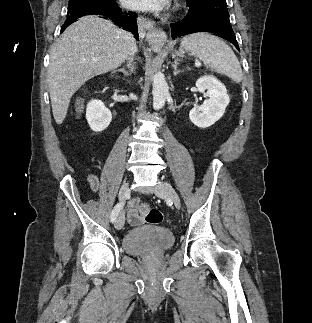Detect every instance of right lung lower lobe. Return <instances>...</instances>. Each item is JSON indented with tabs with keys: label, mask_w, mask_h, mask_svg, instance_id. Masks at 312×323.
I'll return each mask as SVG.
<instances>
[{
	"label": "right lung lower lobe",
	"mask_w": 312,
	"mask_h": 323,
	"mask_svg": "<svg viewBox=\"0 0 312 323\" xmlns=\"http://www.w3.org/2000/svg\"><path fill=\"white\" fill-rule=\"evenodd\" d=\"M92 14L102 15L104 19H111L117 26L122 27L124 30L131 31L136 38H138L136 13H123L118 5L112 7H92L72 12L67 15L65 23L62 25L61 32L71 23L75 22L77 18Z\"/></svg>",
	"instance_id": "obj_1"
}]
</instances>
